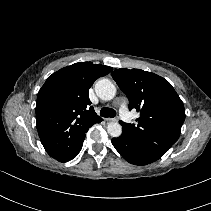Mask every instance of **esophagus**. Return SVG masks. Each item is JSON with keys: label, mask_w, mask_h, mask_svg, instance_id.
Here are the masks:
<instances>
[{"label": "esophagus", "mask_w": 211, "mask_h": 211, "mask_svg": "<svg viewBox=\"0 0 211 211\" xmlns=\"http://www.w3.org/2000/svg\"><path fill=\"white\" fill-rule=\"evenodd\" d=\"M106 121H114V122H117L118 119L117 118H106Z\"/></svg>", "instance_id": "esophagus-1"}]
</instances>
